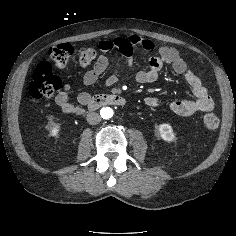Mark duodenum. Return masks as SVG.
Returning a JSON list of instances; mask_svg holds the SVG:
<instances>
[{
  "instance_id": "obj_1",
  "label": "duodenum",
  "mask_w": 236,
  "mask_h": 236,
  "mask_svg": "<svg viewBox=\"0 0 236 236\" xmlns=\"http://www.w3.org/2000/svg\"><path fill=\"white\" fill-rule=\"evenodd\" d=\"M125 104L126 100L117 94H98L89 97L86 101V105L91 110L108 105L124 106Z\"/></svg>"
}]
</instances>
